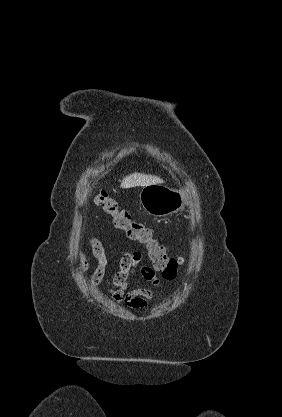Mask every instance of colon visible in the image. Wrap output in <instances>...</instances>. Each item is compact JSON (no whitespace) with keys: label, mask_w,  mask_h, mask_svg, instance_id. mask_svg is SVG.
<instances>
[{"label":"colon","mask_w":282,"mask_h":417,"mask_svg":"<svg viewBox=\"0 0 282 417\" xmlns=\"http://www.w3.org/2000/svg\"><path fill=\"white\" fill-rule=\"evenodd\" d=\"M93 197L104 212L112 218L118 229L123 230L128 238L146 248L149 261L155 270L168 279L176 276L179 267L177 259L167 255L165 248L155 238L151 228L132 219L130 214L122 209L117 200L104 188H95Z\"/></svg>","instance_id":"obj_1"}]
</instances>
